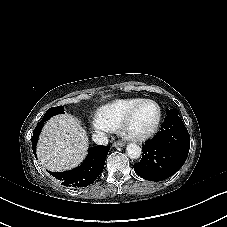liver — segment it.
Here are the masks:
<instances>
[{
    "label": "liver",
    "instance_id": "liver-1",
    "mask_svg": "<svg viewBox=\"0 0 227 227\" xmlns=\"http://www.w3.org/2000/svg\"><path fill=\"white\" fill-rule=\"evenodd\" d=\"M88 137L80 121L69 115H56L43 127L37 157L40 164L53 172L78 166L87 154Z\"/></svg>",
    "mask_w": 227,
    "mask_h": 227
}]
</instances>
